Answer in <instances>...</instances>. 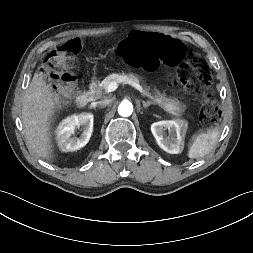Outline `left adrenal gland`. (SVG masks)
<instances>
[{"instance_id": "left-adrenal-gland-1", "label": "left adrenal gland", "mask_w": 253, "mask_h": 253, "mask_svg": "<svg viewBox=\"0 0 253 253\" xmlns=\"http://www.w3.org/2000/svg\"><path fill=\"white\" fill-rule=\"evenodd\" d=\"M142 104H143V107H144V108H147V107H149L150 105H152V104H154V103L151 102V101H147V102L142 101Z\"/></svg>"}]
</instances>
